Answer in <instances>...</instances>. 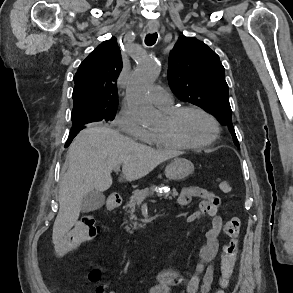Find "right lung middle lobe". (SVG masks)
I'll return each mask as SVG.
<instances>
[{
	"label": "right lung middle lobe",
	"instance_id": "1",
	"mask_svg": "<svg viewBox=\"0 0 293 293\" xmlns=\"http://www.w3.org/2000/svg\"><path fill=\"white\" fill-rule=\"evenodd\" d=\"M116 109L112 110H89L84 108H75L72 110V124L86 125L97 121H111L115 118Z\"/></svg>",
	"mask_w": 293,
	"mask_h": 293
}]
</instances>
